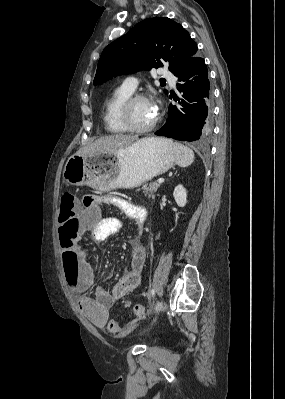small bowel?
<instances>
[{"label": "small bowel", "mask_w": 285, "mask_h": 399, "mask_svg": "<svg viewBox=\"0 0 285 399\" xmlns=\"http://www.w3.org/2000/svg\"><path fill=\"white\" fill-rule=\"evenodd\" d=\"M105 204L120 208L139 229L142 228L147 218V211L141 204L126 198L101 196L97 198L96 204H83V207L93 210L95 207ZM67 222L77 224V232L72 233L63 227L59 228L58 235L62 250H68L75 245L78 235L88 234L94 241H102L122 229L121 220L115 217H101L93 225H88L80 217L78 209L74 210ZM130 247L132 252L130 269L118 279L111 291L103 286H97L93 297L88 296L87 291L94 284L95 276L90 264V253L84 250L80 261L79 285L74 291L80 312L96 327L106 329L113 335L122 333L124 329L114 320L109 319L108 309L139 285L146 261V250L138 237L130 239Z\"/></svg>", "instance_id": "obj_1"}]
</instances>
